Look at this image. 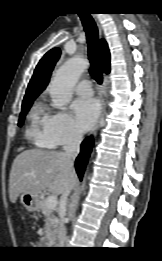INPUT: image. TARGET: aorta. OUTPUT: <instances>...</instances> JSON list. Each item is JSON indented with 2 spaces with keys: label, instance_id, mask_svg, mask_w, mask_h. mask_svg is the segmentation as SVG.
<instances>
[{
  "label": "aorta",
  "instance_id": "obj_1",
  "mask_svg": "<svg viewBox=\"0 0 162 261\" xmlns=\"http://www.w3.org/2000/svg\"><path fill=\"white\" fill-rule=\"evenodd\" d=\"M88 61L81 57H73L63 64L55 73L49 86L53 105L61 108L72 99L73 87L81 74L87 69ZM85 180L81 190H84Z\"/></svg>",
  "mask_w": 162,
  "mask_h": 261
}]
</instances>
